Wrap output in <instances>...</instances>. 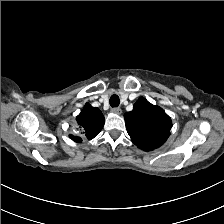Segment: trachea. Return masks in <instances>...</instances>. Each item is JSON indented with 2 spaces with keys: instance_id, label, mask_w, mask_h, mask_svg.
<instances>
[{
  "instance_id": "1",
  "label": "trachea",
  "mask_w": 224,
  "mask_h": 224,
  "mask_svg": "<svg viewBox=\"0 0 224 224\" xmlns=\"http://www.w3.org/2000/svg\"><path fill=\"white\" fill-rule=\"evenodd\" d=\"M119 104H120V99H119L118 95L113 94L110 97V105H111V107H113V108L118 107Z\"/></svg>"
}]
</instances>
